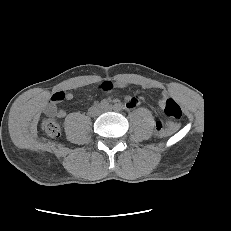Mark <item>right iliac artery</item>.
Instances as JSON below:
<instances>
[{
	"mask_svg": "<svg viewBox=\"0 0 231 231\" xmlns=\"http://www.w3.org/2000/svg\"><path fill=\"white\" fill-rule=\"evenodd\" d=\"M108 105H109V103L107 101H102L101 102L102 107H107Z\"/></svg>",
	"mask_w": 231,
	"mask_h": 231,
	"instance_id": "1",
	"label": "right iliac artery"
}]
</instances>
